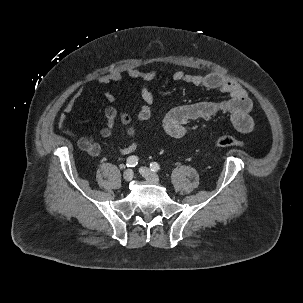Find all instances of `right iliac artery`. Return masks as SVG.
Instances as JSON below:
<instances>
[{
    "label": "right iliac artery",
    "instance_id": "right-iliac-artery-1",
    "mask_svg": "<svg viewBox=\"0 0 303 303\" xmlns=\"http://www.w3.org/2000/svg\"><path fill=\"white\" fill-rule=\"evenodd\" d=\"M138 164V157L137 156H130L126 161L127 167H135Z\"/></svg>",
    "mask_w": 303,
    "mask_h": 303
}]
</instances>
